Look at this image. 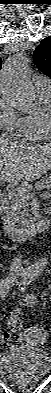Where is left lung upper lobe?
I'll use <instances>...</instances> for the list:
<instances>
[{"label": "left lung upper lobe", "mask_w": 51, "mask_h": 393, "mask_svg": "<svg viewBox=\"0 0 51 393\" xmlns=\"http://www.w3.org/2000/svg\"><path fill=\"white\" fill-rule=\"evenodd\" d=\"M33 57L38 69L51 77V36L41 41L35 49Z\"/></svg>", "instance_id": "obj_1"}]
</instances>
